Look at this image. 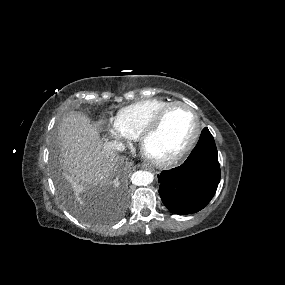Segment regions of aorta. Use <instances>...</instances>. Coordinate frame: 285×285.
<instances>
[{
	"instance_id": "aorta-1",
	"label": "aorta",
	"mask_w": 285,
	"mask_h": 285,
	"mask_svg": "<svg viewBox=\"0 0 285 285\" xmlns=\"http://www.w3.org/2000/svg\"><path fill=\"white\" fill-rule=\"evenodd\" d=\"M154 179V175L148 171H136L131 177V181L134 185L145 186L150 184Z\"/></svg>"
}]
</instances>
